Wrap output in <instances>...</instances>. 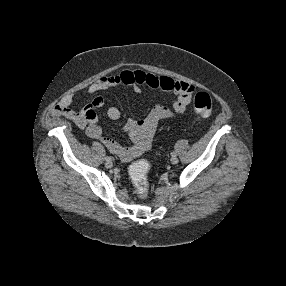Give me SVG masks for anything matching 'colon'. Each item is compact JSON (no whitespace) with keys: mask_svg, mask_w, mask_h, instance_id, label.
Here are the masks:
<instances>
[{"mask_svg":"<svg viewBox=\"0 0 286 286\" xmlns=\"http://www.w3.org/2000/svg\"><path fill=\"white\" fill-rule=\"evenodd\" d=\"M194 109L196 114L200 117H208L212 110V101L209 94L206 92L198 93L194 99ZM148 167L149 164L147 161L139 160L130 168V177L134 183L137 194L141 198L147 197L149 193Z\"/></svg>","mask_w":286,"mask_h":286,"instance_id":"5ec220e1","label":"colon"}]
</instances>
